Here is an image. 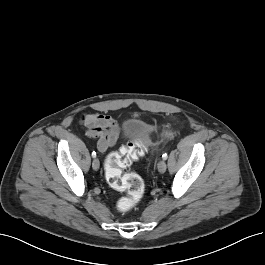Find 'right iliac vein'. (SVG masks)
<instances>
[{"label": "right iliac vein", "instance_id": "obj_1", "mask_svg": "<svg viewBox=\"0 0 265 265\" xmlns=\"http://www.w3.org/2000/svg\"><path fill=\"white\" fill-rule=\"evenodd\" d=\"M92 167H93L94 170H98V169H99V167H100V162H99V160H98L97 158H95V159L93 160V162H92Z\"/></svg>", "mask_w": 265, "mask_h": 265}]
</instances>
